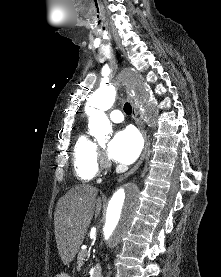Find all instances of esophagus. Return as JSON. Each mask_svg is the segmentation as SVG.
Listing matches in <instances>:
<instances>
[{"label": "esophagus", "instance_id": "obj_1", "mask_svg": "<svg viewBox=\"0 0 221 277\" xmlns=\"http://www.w3.org/2000/svg\"><path fill=\"white\" fill-rule=\"evenodd\" d=\"M128 99H129V101L132 105V116H133V118H134V120H135V122H136L143 138H144V148H143L142 154H141L139 160L137 161V163L129 171H127L126 173L120 175L118 177L117 181H122L123 179H126L127 177L132 175L140 167V165L143 163V161L146 157L147 150H148V147H149V144H150L149 140H148V137H147V134H146L144 124H143L141 118L139 117L138 110H137L134 98L132 97V95L130 93L128 94Z\"/></svg>", "mask_w": 221, "mask_h": 277}]
</instances>
